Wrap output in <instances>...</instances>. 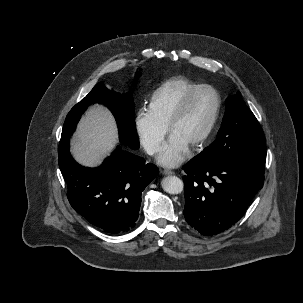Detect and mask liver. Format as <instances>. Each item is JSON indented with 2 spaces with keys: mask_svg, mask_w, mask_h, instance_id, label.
Returning a JSON list of instances; mask_svg holds the SVG:
<instances>
[{
  "mask_svg": "<svg viewBox=\"0 0 303 303\" xmlns=\"http://www.w3.org/2000/svg\"><path fill=\"white\" fill-rule=\"evenodd\" d=\"M118 143L112 114L100 105L92 106L78 124L71 152L85 166H96Z\"/></svg>",
  "mask_w": 303,
  "mask_h": 303,
  "instance_id": "liver-1",
  "label": "liver"
}]
</instances>
